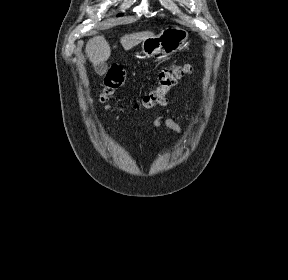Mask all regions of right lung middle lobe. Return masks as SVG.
I'll use <instances>...</instances> for the list:
<instances>
[{
  "label": "right lung middle lobe",
  "instance_id": "dd1d6c3e",
  "mask_svg": "<svg viewBox=\"0 0 288 280\" xmlns=\"http://www.w3.org/2000/svg\"><path fill=\"white\" fill-rule=\"evenodd\" d=\"M120 15H123V14H118L117 16H120Z\"/></svg>",
  "mask_w": 288,
  "mask_h": 280
}]
</instances>
